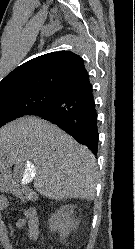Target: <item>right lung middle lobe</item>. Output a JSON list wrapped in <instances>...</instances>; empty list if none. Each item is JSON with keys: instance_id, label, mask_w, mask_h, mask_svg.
Returning a JSON list of instances; mask_svg holds the SVG:
<instances>
[{"instance_id": "dd1d6c3e", "label": "right lung middle lobe", "mask_w": 135, "mask_h": 249, "mask_svg": "<svg viewBox=\"0 0 135 249\" xmlns=\"http://www.w3.org/2000/svg\"><path fill=\"white\" fill-rule=\"evenodd\" d=\"M59 94L55 91H30L0 95V127L18 117L29 115L31 111L54 100Z\"/></svg>"}]
</instances>
